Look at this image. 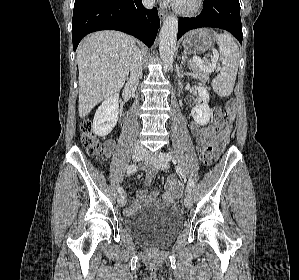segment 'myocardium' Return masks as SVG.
Here are the masks:
<instances>
[{
  "label": "myocardium",
  "mask_w": 299,
  "mask_h": 280,
  "mask_svg": "<svg viewBox=\"0 0 299 280\" xmlns=\"http://www.w3.org/2000/svg\"><path fill=\"white\" fill-rule=\"evenodd\" d=\"M204 4V0H194V2L189 6H183L179 3H176L173 5L174 10L183 16H192L196 13H198Z\"/></svg>",
  "instance_id": "myocardium-1"
}]
</instances>
